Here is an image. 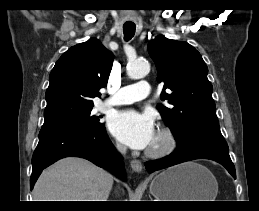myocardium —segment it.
<instances>
[{"mask_svg":"<svg viewBox=\"0 0 259 211\" xmlns=\"http://www.w3.org/2000/svg\"><path fill=\"white\" fill-rule=\"evenodd\" d=\"M157 135L160 139V142L153 147H149L146 151V154L150 157L156 158L165 156L171 153L176 147V137L170 128H159L157 131Z\"/></svg>","mask_w":259,"mask_h":211,"instance_id":"myocardium-1","label":"myocardium"}]
</instances>
